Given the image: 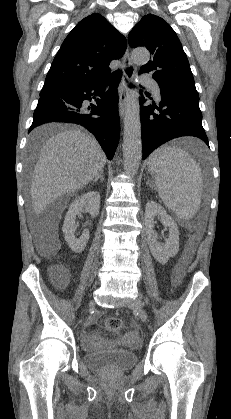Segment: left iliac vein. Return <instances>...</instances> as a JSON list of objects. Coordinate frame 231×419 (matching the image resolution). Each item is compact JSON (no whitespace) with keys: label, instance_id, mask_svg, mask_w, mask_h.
Instances as JSON below:
<instances>
[{"label":"left iliac vein","instance_id":"1","mask_svg":"<svg viewBox=\"0 0 231 419\" xmlns=\"http://www.w3.org/2000/svg\"><path fill=\"white\" fill-rule=\"evenodd\" d=\"M142 305L143 304L140 298H135L134 300L128 303V307L139 315L141 321L147 322L148 315L146 311L143 309Z\"/></svg>","mask_w":231,"mask_h":419}]
</instances>
